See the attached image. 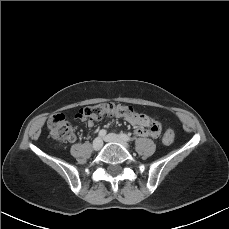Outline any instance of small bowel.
I'll list each match as a JSON object with an SVG mask.
<instances>
[{
    "mask_svg": "<svg viewBox=\"0 0 229 229\" xmlns=\"http://www.w3.org/2000/svg\"><path fill=\"white\" fill-rule=\"evenodd\" d=\"M125 119L132 125L137 126L135 134L139 137H156L157 131L147 129L151 123V118L146 114H138L135 113L132 116H126ZM88 127H93L95 125V121L87 120L86 122Z\"/></svg>",
    "mask_w": 229,
    "mask_h": 229,
    "instance_id": "c3829d8e",
    "label": "small bowel"
}]
</instances>
